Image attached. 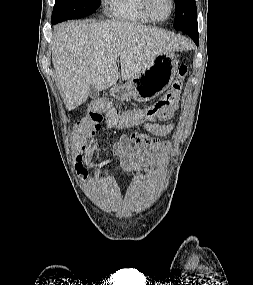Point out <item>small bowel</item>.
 I'll return each mask as SVG.
<instances>
[{
  "label": "small bowel",
  "mask_w": 253,
  "mask_h": 285,
  "mask_svg": "<svg viewBox=\"0 0 253 285\" xmlns=\"http://www.w3.org/2000/svg\"><path fill=\"white\" fill-rule=\"evenodd\" d=\"M178 107V101H174L161 114L160 118L142 122L144 127L153 135L133 132L122 135L114 144L116 154L121 157L124 171L134 174L144 168L152 159L150 151L160 146L159 137L168 135L173 129V124H159L155 120H163L171 117ZM121 128V127H117Z\"/></svg>",
  "instance_id": "small-bowel-1"
}]
</instances>
